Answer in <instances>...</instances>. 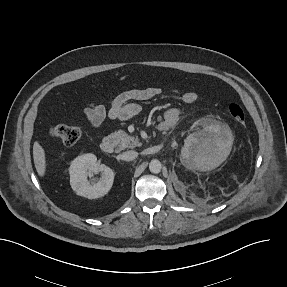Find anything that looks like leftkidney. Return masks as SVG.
Returning a JSON list of instances; mask_svg holds the SVG:
<instances>
[{"label":"left kidney","instance_id":"1","mask_svg":"<svg viewBox=\"0 0 287 287\" xmlns=\"http://www.w3.org/2000/svg\"><path fill=\"white\" fill-rule=\"evenodd\" d=\"M202 133L189 135L181 150L190 168L201 171L218 167L230 154L233 145L231 131L219 124H205Z\"/></svg>","mask_w":287,"mask_h":287}]
</instances>
